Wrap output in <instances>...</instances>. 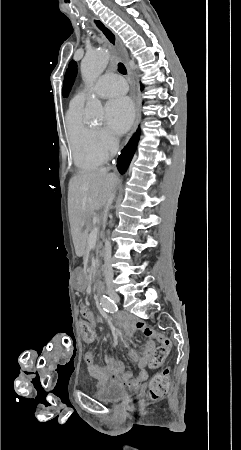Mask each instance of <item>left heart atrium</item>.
<instances>
[{"label":"left heart atrium","mask_w":241,"mask_h":450,"mask_svg":"<svg viewBox=\"0 0 241 450\" xmlns=\"http://www.w3.org/2000/svg\"><path fill=\"white\" fill-rule=\"evenodd\" d=\"M107 114L108 128L117 135L123 134L131 127L135 117L131 99L127 96H120L117 102H109Z\"/></svg>","instance_id":"left-heart-atrium-1"}]
</instances>
